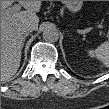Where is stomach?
Here are the masks:
<instances>
[{
	"label": "stomach",
	"instance_id": "obj_1",
	"mask_svg": "<svg viewBox=\"0 0 109 109\" xmlns=\"http://www.w3.org/2000/svg\"><path fill=\"white\" fill-rule=\"evenodd\" d=\"M64 5L73 13L81 10L83 1H63Z\"/></svg>",
	"mask_w": 109,
	"mask_h": 109
}]
</instances>
